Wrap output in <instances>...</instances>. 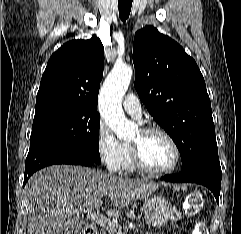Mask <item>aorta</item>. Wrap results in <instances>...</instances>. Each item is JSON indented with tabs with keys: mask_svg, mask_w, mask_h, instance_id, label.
<instances>
[{
	"mask_svg": "<svg viewBox=\"0 0 241 234\" xmlns=\"http://www.w3.org/2000/svg\"><path fill=\"white\" fill-rule=\"evenodd\" d=\"M132 68L127 64H116L100 91V114L105 123L120 139L132 137L136 125L126 119L122 110V98L126 93L132 78Z\"/></svg>",
	"mask_w": 241,
	"mask_h": 234,
	"instance_id": "obj_1",
	"label": "aorta"
}]
</instances>
